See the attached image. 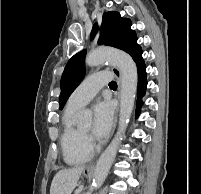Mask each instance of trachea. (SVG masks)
<instances>
[{"label":"trachea","mask_w":201,"mask_h":194,"mask_svg":"<svg viewBox=\"0 0 201 194\" xmlns=\"http://www.w3.org/2000/svg\"><path fill=\"white\" fill-rule=\"evenodd\" d=\"M109 87H117V83L115 81H112L109 83Z\"/></svg>","instance_id":"trachea-1"}]
</instances>
